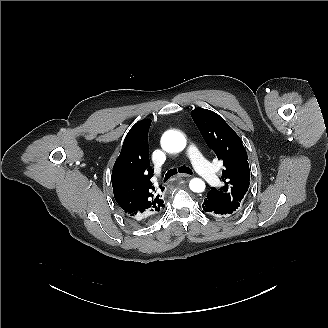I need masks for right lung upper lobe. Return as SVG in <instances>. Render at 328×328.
<instances>
[{"mask_svg": "<svg viewBox=\"0 0 328 328\" xmlns=\"http://www.w3.org/2000/svg\"><path fill=\"white\" fill-rule=\"evenodd\" d=\"M150 124L151 120H141L130 129L111 176L116 202L140 225L155 220L164 208L161 194L150 181L154 173L148 150Z\"/></svg>", "mask_w": 328, "mask_h": 328, "instance_id": "obj_1", "label": "right lung upper lobe"}]
</instances>
